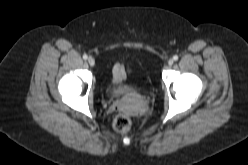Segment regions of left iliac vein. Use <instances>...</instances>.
Here are the masks:
<instances>
[{"label":"left iliac vein","mask_w":248,"mask_h":165,"mask_svg":"<svg viewBox=\"0 0 248 165\" xmlns=\"http://www.w3.org/2000/svg\"><path fill=\"white\" fill-rule=\"evenodd\" d=\"M173 63H174V60H173V59H169V60H168V65H169V66H172Z\"/></svg>","instance_id":"obj_1"}]
</instances>
